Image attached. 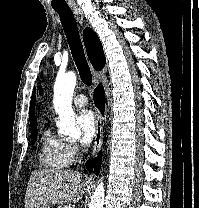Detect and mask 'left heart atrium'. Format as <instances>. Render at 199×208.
<instances>
[{
    "label": "left heart atrium",
    "mask_w": 199,
    "mask_h": 208,
    "mask_svg": "<svg viewBox=\"0 0 199 208\" xmlns=\"http://www.w3.org/2000/svg\"><path fill=\"white\" fill-rule=\"evenodd\" d=\"M77 126L81 132V142L83 145L89 144L96 132V121L92 111L82 110L76 118Z\"/></svg>",
    "instance_id": "1"
}]
</instances>
